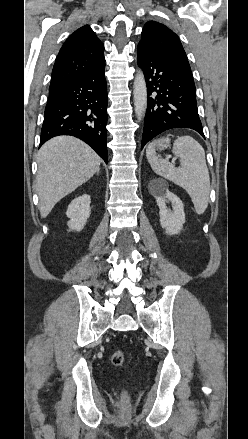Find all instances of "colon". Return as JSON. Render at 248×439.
<instances>
[{"label":"colon","mask_w":248,"mask_h":439,"mask_svg":"<svg viewBox=\"0 0 248 439\" xmlns=\"http://www.w3.org/2000/svg\"><path fill=\"white\" fill-rule=\"evenodd\" d=\"M111 361H112V363L115 366H122V365H124V363L126 361V354H125V352H123L121 350L115 351L112 354ZM122 397H123V399H126L127 398V392H123L122 393Z\"/></svg>","instance_id":"1"}]
</instances>
